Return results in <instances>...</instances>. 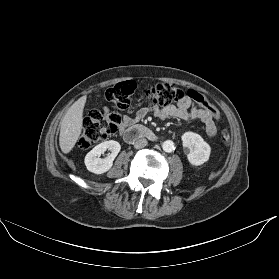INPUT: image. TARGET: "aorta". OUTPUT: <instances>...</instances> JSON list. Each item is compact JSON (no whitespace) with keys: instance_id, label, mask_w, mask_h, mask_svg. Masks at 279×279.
Returning a JSON list of instances; mask_svg holds the SVG:
<instances>
[{"instance_id":"762f6f07","label":"aorta","mask_w":279,"mask_h":279,"mask_svg":"<svg viewBox=\"0 0 279 279\" xmlns=\"http://www.w3.org/2000/svg\"><path fill=\"white\" fill-rule=\"evenodd\" d=\"M162 148L165 152H172L175 149L174 143L171 140H166L165 142H163L162 144Z\"/></svg>"}]
</instances>
